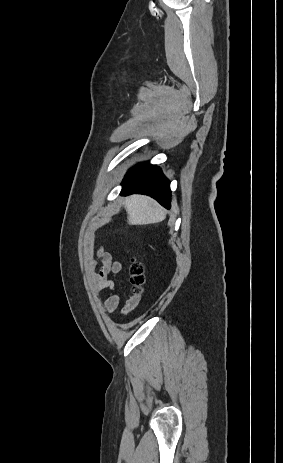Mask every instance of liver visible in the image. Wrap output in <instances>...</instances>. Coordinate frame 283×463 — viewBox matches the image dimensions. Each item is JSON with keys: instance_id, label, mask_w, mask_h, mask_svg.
<instances>
[{"instance_id": "6515ba94", "label": "liver", "mask_w": 283, "mask_h": 463, "mask_svg": "<svg viewBox=\"0 0 283 463\" xmlns=\"http://www.w3.org/2000/svg\"><path fill=\"white\" fill-rule=\"evenodd\" d=\"M123 205L128 214L129 225L153 224L166 218L165 210L146 196L132 195L125 199Z\"/></svg>"}]
</instances>
